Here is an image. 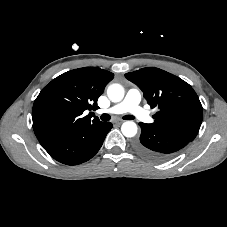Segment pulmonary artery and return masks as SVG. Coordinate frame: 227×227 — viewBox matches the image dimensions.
I'll return each instance as SVG.
<instances>
[{
  "instance_id": "pulmonary-artery-1",
  "label": "pulmonary artery",
  "mask_w": 227,
  "mask_h": 227,
  "mask_svg": "<svg viewBox=\"0 0 227 227\" xmlns=\"http://www.w3.org/2000/svg\"><path fill=\"white\" fill-rule=\"evenodd\" d=\"M141 92L137 88H131L127 91L125 98L118 104L103 110L102 113L109 114H122L130 113L136 119L150 123L152 121L151 116L140 106Z\"/></svg>"
}]
</instances>
